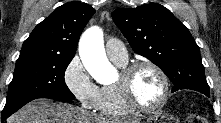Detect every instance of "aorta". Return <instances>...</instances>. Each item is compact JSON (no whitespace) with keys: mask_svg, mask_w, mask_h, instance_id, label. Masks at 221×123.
<instances>
[{"mask_svg":"<svg viewBox=\"0 0 221 123\" xmlns=\"http://www.w3.org/2000/svg\"><path fill=\"white\" fill-rule=\"evenodd\" d=\"M79 55L84 67L97 82L111 81L115 69L106 56L103 31L100 27H90L82 34L79 42Z\"/></svg>","mask_w":221,"mask_h":123,"instance_id":"obj_1","label":"aorta"}]
</instances>
